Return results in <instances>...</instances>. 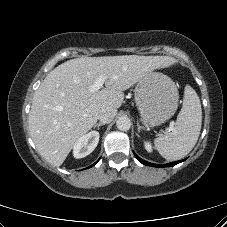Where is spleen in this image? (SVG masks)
Returning <instances> with one entry per match:
<instances>
[{"instance_id":"3e777b00","label":"spleen","mask_w":227,"mask_h":227,"mask_svg":"<svg viewBox=\"0 0 227 227\" xmlns=\"http://www.w3.org/2000/svg\"><path fill=\"white\" fill-rule=\"evenodd\" d=\"M202 124V109L196 91L189 85L184 90L181 111L174 130L154 140L157 151L167 160L185 157L197 143Z\"/></svg>"}]
</instances>
